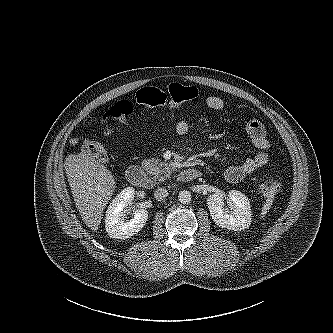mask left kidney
Returning a JSON list of instances; mask_svg holds the SVG:
<instances>
[{
    "instance_id": "obj_1",
    "label": "left kidney",
    "mask_w": 333,
    "mask_h": 333,
    "mask_svg": "<svg viewBox=\"0 0 333 333\" xmlns=\"http://www.w3.org/2000/svg\"><path fill=\"white\" fill-rule=\"evenodd\" d=\"M230 210L225 207L222 194L215 193L207 198L210 215L219 227L241 231L251 224V206L248 198L240 191L231 190L228 194Z\"/></svg>"
}]
</instances>
